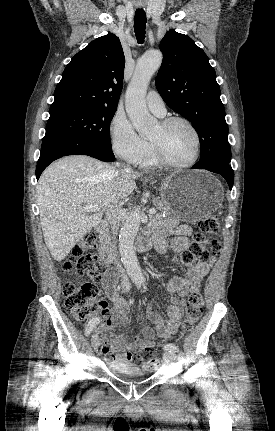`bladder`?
Returning <instances> with one entry per match:
<instances>
[{
	"label": "bladder",
	"mask_w": 275,
	"mask_h": 431,
	"mask_svg": "<svg viewBox=\"0 0 275 431\" xmlns=\"http://www.w3.org/2000/svg\"><path fill=\"white\" fill-rule=\"evenodd\" d=\"M108 367L111 373L119 377L121 376L146 377L149 375V372L143 371L132 364L110 363Z\"/></svg>",
	"instance_id": "bladder-1"
}]
</instances>
